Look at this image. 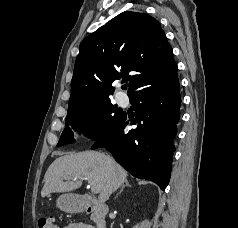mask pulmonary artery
Returning <instances> with one entry per match:
<instances>
[{"label": "pulmonary artery", "instance_id": "obj_1", "mask_svg": "<svg viewBox=\"0 0 238 228\" xmlns=\"http://www.w3.org/2000/svg\"><path fill=\"white\" fill-rule=\"evenodd\" d=\"M118 101L119 103L124 104L126 102V99L123 96H118Z\"/></svg>", "mask_w": 238, "mask_h": 228}]
</instances>
